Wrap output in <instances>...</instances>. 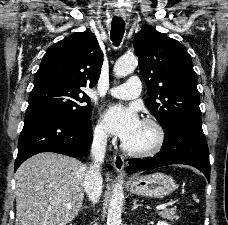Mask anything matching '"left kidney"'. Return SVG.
<instances>
[{
  "label": "left kidney",
  "mask_w": 228,
  "mask_h": 225,
  "mask_svg": "<svg viewBox=\"0 0 228 225\" xmlns=\"http://www.w3.org/2000/svg\"><path fill=\"white\" fill-rule=\"evenodd\" d=\"M157 225H168V223H165V221H158Z\"/></svg>",
  "instance_id": "obj_1"
}]
</instances>
